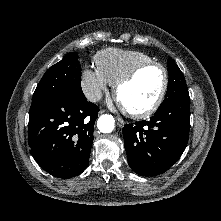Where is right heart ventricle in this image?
I'll list each match as a JSON object with an SVG mask.
<instances>
[{"label": "right heart ventricle", "instance_id": "e07e8e85", "mask_svg": "<svg viewBox=\"0 0 221 221\" xmlns=\"http://www.w3.org/2000/svg\"><path fill=\"white\" fill-rule=\"evenodd\" d=\"M148 61L153 59L137 50L109 48L98 52L95 56L96 70L110 85H115L135 66Z\"/></svg>", "mask_w": 221, "mask_h": 221}]
</instances>
